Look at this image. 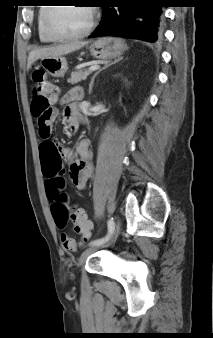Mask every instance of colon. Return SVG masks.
<instances>
[{"instance_id": "5ec220e1", "label": "colon", "mask_w": 213, "mask_h": 338, "mask_svg": "<svg viewBox=\"0 0 213 338\" xmlns=\"http://www.w3.org/2000/svg\"><path fill=\"white\" fill-rule=\"evenodd\" d=\"M34 87L33 98L31 102V111L37 119L39 125V135L43 139H47L50 135V124L54 115V103L57 96L56 87L50 82L47 76L38 71L33 75ZM56 141L45 142L41 149L47 155L51 154L57 147ZM57 205L54 207V214L58 220L69 218L75 227V231L81 234V239L77 242L75 239L62 234L61 241L66 251L74 252L79 246L88 242L91 235V223L86 219L84 212L75 207H69L66 197L61 191L58 193Z\"/></svg>"}]
</instances>
